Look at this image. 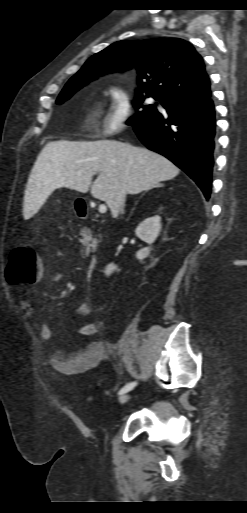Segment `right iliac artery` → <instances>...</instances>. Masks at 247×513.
Instances as JSON below:
<instances>
[{
  "label": "right iliac artery",
  "mask_w": 247,
  "mask_h": 513,
  "mask_svg": "<svg viewBox=\"0 0 247 513\" xmlns=\"http://www.w3.org/2000/svg\"><path fill=\"white\" fill-rule=\"evenodd\" d=\"M136 382H131V383H128L127 385H125L123 388H121V390L119 391V395L120 394H124L130 390H132L135 386H136Z\"/></svg>",
  "instance_id": "82829eb1"
}]
</instances>
